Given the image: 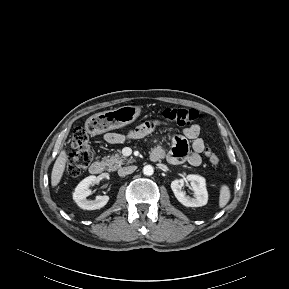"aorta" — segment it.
<instances>
[{
    "mask_svg": "<svg viewBox=\"0 0 289 289\" xmlns=\"http://www.w3.org/2000/svg\"><path fill=\"white\" fill-rule=\"evenodd\" d=\"M154 173V168L151 165H146L143 168V174L146 176H151Z\"/></svg>",
    "mask_w": 289,
    "mask_h": 289,
    "instance_id": "762f6f07",
    "label": "aorta"
}]
</instances>
